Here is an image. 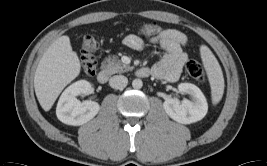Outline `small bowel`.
Returning <instances> with one entry per match:
<instances>
[{
  "label": "small bowel",
  "mask_w": 267,
  "mask_h": 166,
  "mask_svg": "<svg viewBox=\"0 0 267 166\" xmlns=\"http://www.w3.org/2000/svg\"><path fill=\"white\" fill-rule=\"evenodd\" d=\"M150 41L164 49L165 54L151 68H147L149 73L160 80L167 82L177 81L188 59L185 51L186 35L176 29H166L151 37ZM123 43L136 51H141L144 48V40L136 34L127 35Z\"/></svg>",
  "instance_id": "small-bowel-1"
}]
</instances>
